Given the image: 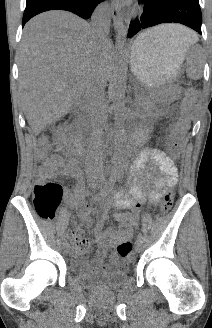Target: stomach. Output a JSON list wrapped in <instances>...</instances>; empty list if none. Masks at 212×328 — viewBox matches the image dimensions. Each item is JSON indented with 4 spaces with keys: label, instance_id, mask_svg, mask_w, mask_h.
Segmentation results:
<instances>
[{
    "label": "stomach",
    "instance_id": "stomach-1",
    "mask_svg": "<svg viewBox=\"0 0 212 328\" xmlns=\"http://www.w3.org/2000/svg\"><path fill=\"white\" fill-rule=\"evenodd\" d=\"M184 49L159 38H149L143 45L133 44L131 69L144 86L153 88L178 75L186 53Z\"/></svg>",
    "mask_w": 212,
    "mask_h": 328
}]
</instances>
